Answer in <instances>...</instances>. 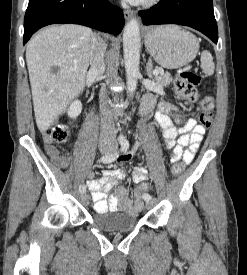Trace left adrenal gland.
I'll return each instance as SVG.
<instances>
[{
    "mask_svg": "<svg viewBox=\"0 0 247 275\" xmlns=\"http://www.w3.org/2000/svg\"><path fill=\"white\" fill-rule=\"evenodd\" d=\"M146 73L148 75L149 78H153L152 75V60L151 58H149L148 63L146 65Z\"/></svg>",
    "mask_w": 247,
    "mask_h": 275,
    "instance_id": "left-adrenal-gland-1",
    "label": "left adrenal gland"
}]
</instances>
